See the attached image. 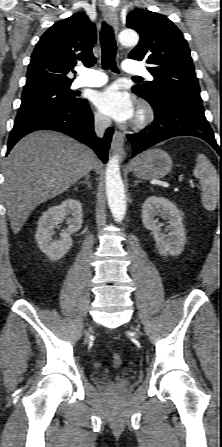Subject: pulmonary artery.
<instances>
[{"instance_id":"pulmonary-artery-1","label":"pulmonary artery","mask_w":222,"mask_h":447,"mask_svg":"<svg viewBox=\"0 0 222 447\" xmlns=\"http://www.w3.org/2000/svg\"><path fill=\"white\" fill-rule=\"evenodd\" d=\"M123 70L128 75H144L151 78L145 65L136 60H126ZM80 76L74 80L73 88L100 87L107 83L108 79L104 73L95 69L81 68Z\"/></svg>"}]
</instances>
